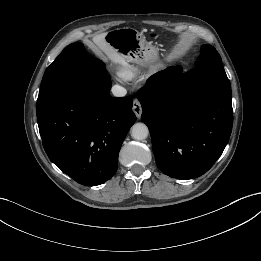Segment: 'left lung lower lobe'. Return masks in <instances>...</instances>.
Here are the masks:
<instances>
[{
	"label": "left lung lower lobe",
	"mask_w": 261,
	"mask_h": 261,
	"mask_svg": "<svg viewBox=\"0 0 261 261\" xmlns=\"http://www.w3.org/2000/svg\"><path fill=\"white\" fill-rule=\"evenodd\" d=\"M156 164L173 178L207 172L225 149L233 124L232 94L223 68L171 66L138 92Z\"/></svg>",
	"instance_id": "obj_1"
}]
</instances>
